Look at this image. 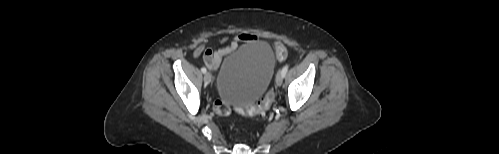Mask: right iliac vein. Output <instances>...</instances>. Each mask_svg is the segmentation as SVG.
<instances>
[{"label": "right iliac vein", "mask_w": 499, "mask_h": 154, "mask_svg": "<svg viewBox=\"0 0 499 154\" xmlns=\"http://www.w3.org/2000/svg\"><path fill=\"white\" fill-rule=\"evenodd\" d=\"M211 82V74L209 72H205L204 74V83L206 85L210 84Z\"/></svg>", "instance_id": "1"}]
</instances>
